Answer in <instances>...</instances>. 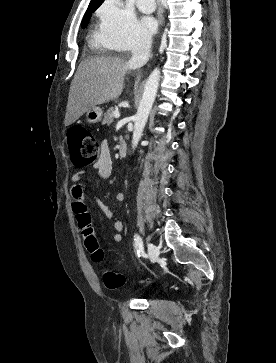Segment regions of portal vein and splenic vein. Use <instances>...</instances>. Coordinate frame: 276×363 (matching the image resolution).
<instances>
[{
	"label": "portal vein and splenic vein",
	"mask_w": 276,
	"mask_h": 363,
	"mask_svg": "<svg viewBox=\"0 0 276 363\" xmlns=\"http://www.w3.org/2000/svg\"><path fill=\"white\" fill-rule=\"evenodd\" d=\"M113 117H115V118H119V117H120V113H119L118 111H115V112L113 113Z\"/></svg>",
	"instance_id": "obj_1"
}]
</instances>
